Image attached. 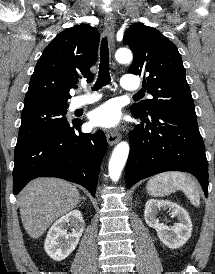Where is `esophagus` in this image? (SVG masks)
<instances>
[{"label": "esophagus", "mask_w": 215, "mask_h": 274, "mask_svg": "<svg viewBox=\"0 0 215 274\" xmlns=\"http://www.w3.org/2000/svg\"><path fill=\"white\" fill-rule=\"evenodd\" d=\"M105 29L108 33L111 45L113 44V29L115 26V18L113 14H107L104 19ZM109 145H114L120 141L121 135L118 132H108L106 134Z\"/></svg>", "instance_id": "esophagus-1"}]
</instances>
